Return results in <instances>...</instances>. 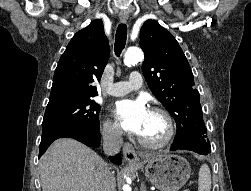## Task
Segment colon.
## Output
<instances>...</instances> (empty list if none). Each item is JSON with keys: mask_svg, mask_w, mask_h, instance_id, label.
Segmentation results:
<instances>
[{"mask_svg": "<svg viewBox=\"0 0 251 191\" xmlns=\"http://www.w3.org/2000/svg\"><path fill=\"white\" fill-rule=\"evenodd\" d=\"M184 191H191V189L190 188H185Z\"/></svg>", "mask_w": 251, "mask_h": 191, "instance_id": "1", "label": "colon"}]
</instances>
